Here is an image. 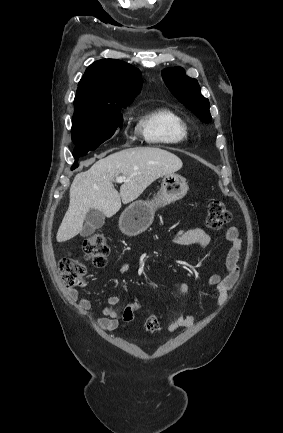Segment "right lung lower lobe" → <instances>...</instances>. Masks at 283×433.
Masks as SVG:
<instances>
[{"label": "right lung lower lobe", "mask_w": 283, "mask_h": 433, "mask_svg": "<svg viewBox=\"0 0 283 433\" xmlns=\"http://www.w3.org/2000/svg\"><path fill=\"white\" fill-rule=\"evenodd\" d=\"M78 167V158L77 159H75V163L73 164V166H72V170L73 169H75V168H77Z\"/></svg>", "instance_id": "right-lung-lower-lobe-1"}]
</instances>
